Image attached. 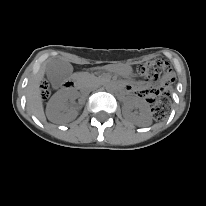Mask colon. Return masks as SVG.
<instances>
[{
	"label": "colon",
	"mask_w": 206,
	"mask_h": 206,
	"mask_svg": "<svg viewBox=\"0 0 206 206\" xmlns=\"http://www.w3.org/2000/svg\"><path fill=\"white\" fill-rule=\"evenodd\" d=\"M141 75L149 80H159L161 79L164 85H168L173 81L172 70L170 64L162 59H156L149 61L139 68ZM41 94L45 98L49 95V86L46 82L42 83ZM156 94L164 95V89L156 91ZM169 109V101L165 96L160 97L154 101L152 106V114L155 120H162Z\"/></svg>",
	"instance_id": "1"
}]
</instances>
